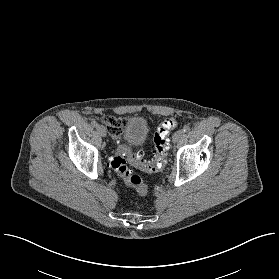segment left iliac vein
Wrapping results in <instances>:
<instances>
[{
	"mask_svg": "<svg viewBox=\"0 0 279 279\" xmlns=\"http://www.w3.org/2000/svg\"><path fill=\"white\" fill-rule=\"evenodd\" d=\"M183 136H184L183 130H178L173 135V142L176 143V142L180 141L183 138Z\"/></svg>",
	"mask_w": 279,
	"mask_h": 279,
	"instance_id": "left-iliac-vein-1",
	"label": "left iliac vein"
}]
</instances>
